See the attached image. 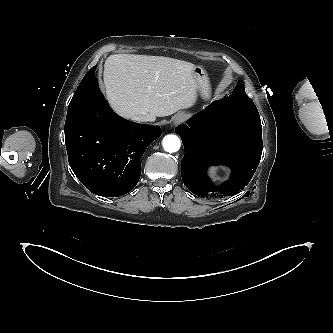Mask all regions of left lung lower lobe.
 Instances as JSON below:
<instances>
[{
  "label": "left lung lower lobe",
  "mask_w": 333,
  "mask_h": 333,
  "mask_svg": "<svg viewBox=\"0 0 333 333\" xmlns=\"http://www.w3.org/2000/svg\"><path fill=\"white\" fill-rule=\"evenodd\" d=\"M213 126H216L215 133ZM176 133L185 148L182 179L197 196L238 194L250 182L261 159L262 126L257 108L254 104L236 101L232 95L213 102L189 119L188 125L176 127ZM220 162L231 166L232 174L220 187H214L206 169Z\"/></svg>",
  "instance_id": "1"
}]
</instances>
